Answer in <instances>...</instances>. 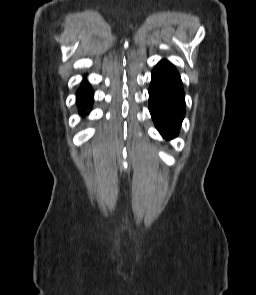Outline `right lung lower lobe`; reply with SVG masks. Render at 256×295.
I'll list each match as a JSON object with an SVG mask.
<instances>
[{
	"mask_svg": "<svg viewBox=\"0 0 256 295\" xmlns=\"http://www.w3.org/2000/svg\"><path fill=\"white\" fill-rule=\"evenodd\" d=\"M76 96L79 112L83 115L86 112V109L93 103V92H91V86L86 80L81 83Z\"/></svg>",
	"mask_w": 256,
	"mask_h": 295,
	"instance_id": "right-lung-lower-lobe-1",
	"label": "right lung lower lobe"
}]
</instances>
